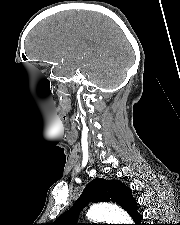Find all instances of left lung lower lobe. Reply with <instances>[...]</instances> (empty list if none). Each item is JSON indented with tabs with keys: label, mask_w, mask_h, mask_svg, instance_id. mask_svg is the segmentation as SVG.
I'll return each instance as SVG.
<instances>
[{
	"label": "left lung lower lobe",
	"mask_w": 180,
	"mask_h": 225,
	"mask_svg": "<svg viewBox=\"0 0 180 225\" xmlns=\"http://www.w3.org/2000/svg\"><path fill=\"white\" fill-rule=\"evenodd\" d=\"M130 216L132 217V219L135 222L134 225H144V224L141 223L142 216L137 212V210L132 212Z\"/></svg>",
	"instance_id": "obj_1"
}]
</instances>
